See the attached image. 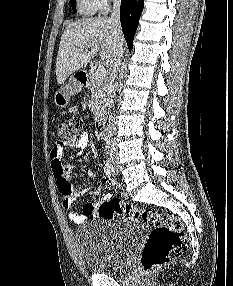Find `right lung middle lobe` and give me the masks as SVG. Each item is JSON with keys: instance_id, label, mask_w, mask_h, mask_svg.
Listing matches in <instances>:
<instances>
[{"instance_id": "obj_1", "label": "right lung middle lobe", "mask_w": 233, "mask_h": 286, "mask_svg": "<svg viewBox=\"0 0 233 286\" xmlns=\"http://www.w3.org/2000/svg\"><path fill=\"white\" fill-rule=\"evenodd\" d=\"M70 3H71V6H72V10L74 12H76V7H75V4H74V0H70Z\"/></svg>"}]
</instances>
